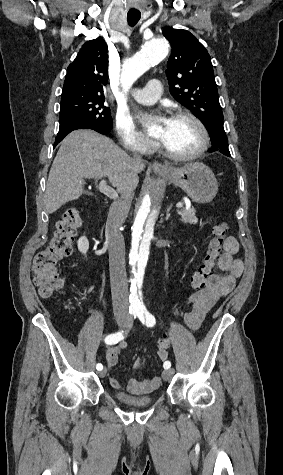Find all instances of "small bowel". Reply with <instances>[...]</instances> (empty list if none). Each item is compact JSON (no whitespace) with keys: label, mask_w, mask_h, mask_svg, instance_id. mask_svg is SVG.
Listing matches in <instances>:
<instances>
[{"label":"small bowel","mask_w":283,"mask_h":475,"mask_svg":"<svg viewBox=\"0 0 283 475\" xmlns=\"http://www.w3.org/2000/svg\"><path fill=\"white\" fill-rule=\"evenodd\" d=\"M227 251H223L220 259V271L216 273L215 282L211 283L209 291H194L188 303L190 309L184 313V322L192 330L197 331L203 323L205 317L214 307L219 298L229 295L235 288L237 279L241 277L244 271V262L236 258L239 245L237 240L229 236L226 238ZM126 348L125 344H120L115 347H108L106 351L107 367L112 370L119 362V354ZM142 359H136L134 362L135 368H140L143 365ZM161 382L160 376L151 378H133L130 379L126 386L131 391H136L143 388H156ZM110 383L114 388H121L123 384L116 378H111Z\"/></svg>","instance_id":"small-bowel-1"}]
</instances>
